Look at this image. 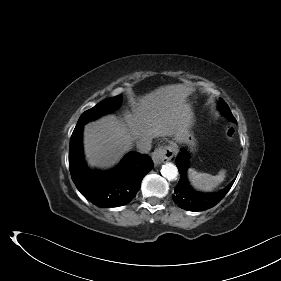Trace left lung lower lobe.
<instances>
[{"label":"left lung lower lobe","instance_id":"1","mask_svg":"<svg viewBox=\"0 0 281 281\" xmlns=\"http://www.w3.org/2000/svg\"><path fill=\"white\" fill-rule=\"evenodd\" d=\"M186 159L187 156L184 153L176 159V165L181 177L175 188V193L172 195L174 202L178 204L180 208L188 211H203L215 206L230 190L234 181L225 189L217 193L204 194L196 192L190 187L186 178V169L188 165Z\"/></svg>","mask_w":281,"mask_h":281}]
</instances>
